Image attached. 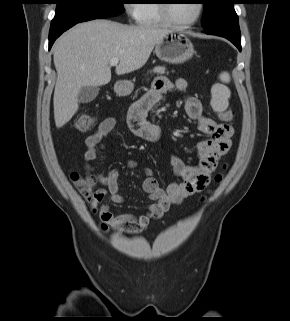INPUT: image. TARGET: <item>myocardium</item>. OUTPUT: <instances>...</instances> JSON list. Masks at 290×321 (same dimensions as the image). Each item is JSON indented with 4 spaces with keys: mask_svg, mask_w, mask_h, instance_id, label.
I'll use <instances>...</instances> for the list:
<instances>
[{
    "mask_svg": "<svg viewBox=\"0 0 290 321\" xmlns=\"http://www.w3.org/2000/svg\"><path fill=\"white\" fill-rule=\"evenodd\" d=\"M158 1H159L158 2L159 12H160L161 16L163 17L165 23H167L168 25H170L172 27H176V28H187V27H190V26L196 24L198 22V20L200 19L201 15L203 13V9H204L203 3L201 1H197V12H196L195 17L187 22H178V21L174 20L170 15V1L171 0H158Z\"/></svg>",
    "mask_w": 290,
    "mask_h": 321,
    "instance_id": "1",
    "label": "myocardium"
}]
</instances>
